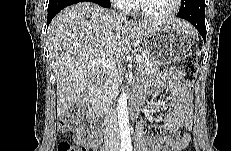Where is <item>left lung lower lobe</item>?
Returning <instances> with one entry per match:
<instances>
[{"mask_svg":"<svg viewBox=\"0 0 231 151\" xmlns=\"http://www.w3.org/2000/svg\"><path fill=\"white\" fill-rule=\"evenodd\" d=\"M177 17L188 20L193 24L206 41L205 26V1L190 0L183 8H180Z\"/></svg>","mask_w":231,"mask_h":151,"instance_id":"obj_1","label":"left lung lower lobe"}]
</instances>
